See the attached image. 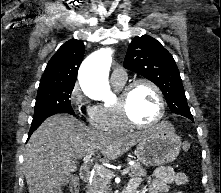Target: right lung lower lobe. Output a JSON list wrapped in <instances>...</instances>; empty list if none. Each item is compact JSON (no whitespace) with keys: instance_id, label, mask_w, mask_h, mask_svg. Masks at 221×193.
<instances>
[{"instance_id":"right-lung-lower-lobe-1","label":"right lung lower lobe","mask_w":221,"mask_h":193,"mask_svg":"<svg viewBox=\"0 0 221 193\" xmlns=\"http://www.w3.org/2000/svg\"><path fill=\"white\" fill-rule=\"evenodd\" d=\"M71 115H74V114H71ZM49 116H51V115H49ZM49 116H45V117L40 118L39 120L32 121L31 128H30V131H29V134H28V138L41 125V123Z\"/></svg>"}]
</instances>
